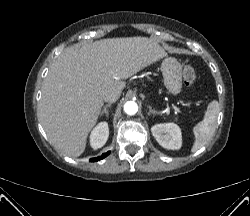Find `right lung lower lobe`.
Here are the masks:
<instances>
[{
	"mask_svg": "<svg viewBox=\"0 0 250 216\" xmlns=\"http://www.w3.org/2000/svg\"><path fill=\"white\" fill-rule=\"evenodd\" d=\"M109 153H110V151L107 152V153L102 154V155L99 156V157L93 158V159H91L90 161H93V162H94V161H99V160L105 158Z\"/></svg>",
	"mask_w": 250,
	"mask_h": 216,
	"instance_id": "right-lung-lower-lobe-1",
	"label": "right lung lower lobe"
}]
</instances>
